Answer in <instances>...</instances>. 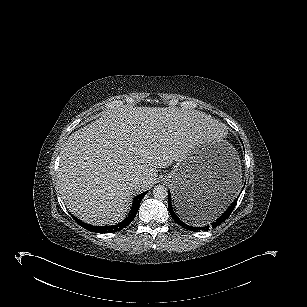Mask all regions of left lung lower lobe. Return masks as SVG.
<instances>
[{"mask_svg":"<svg viewBox=\"0 0 307 307\" xmlns=\"http://www.w3.org/2000/svg\"><path fill=\"white\" fill-rule=\"evenodd\" d=\"M238 200V199H237ZM236 205V200L231 204V206L223 213V215L221 217H219L217 220H215L210 226H204V227H192L189 226L187 224H185L184 222H182L175 214V212L172 209V205H171V195L170 192L168 193V209L170 212V215L172 216V218L175 220V222L177 224H179L181 227L190 230V231H196V232H200V231H208L210 228H214L217 227L219 224H221L222 222H224L232 213L234 207Z\"/></svg>","mask_w":307,"mask_h":307,"instance_id":"1","label":"left lung lower lobe"}]
</instances>
